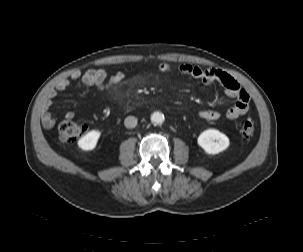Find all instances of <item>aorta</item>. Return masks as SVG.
<instances>
[{
	"instance_id": "aorta-1",
	"label": "aorta",
	"mask_w": 303,
	"mask_h": 252,
	"mask_svg": "<svg viewBox=\"0 0 303 252\" xmlns=\"http://www.w3.org/2000/svg\"><path fill=\"white\" fill-rule=\"evenodd\" d=\"M151 122L154 124V125H160L164 122V115L160 112H154L152 115H151Z\"/></svg>"
}]
</instances>
